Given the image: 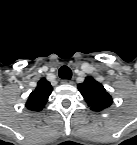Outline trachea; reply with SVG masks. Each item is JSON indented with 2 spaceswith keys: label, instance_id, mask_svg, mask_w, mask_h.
<instances>
[{
  "label": "trachea",
  "instance_id": "1",
  "mask_svg": "<svg viewBox=\"0 0 137 145\" xmlns=\"http://www.w3.org/2000/svg\"><path fill=\"white\" fill-rule=\"evenodd\" d=\"M58 75L61 79H71L72 71L68 66H62L59 69Z\"/></svg>",
  "mask_w": 137,
  "mask_h": 145
}]
</instances>
